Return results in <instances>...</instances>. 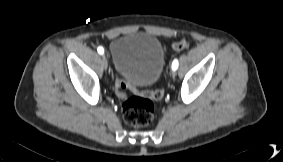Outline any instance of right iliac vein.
Segmentation results:
<instances>
[{"label":"right iliac vein","instance_id":"obj_1","mask_svg":"<svg viewBox=\"0 0 283 162\" xmlns=\"http://www.w3.org/2000/svg\"><path fill=\"white\" fill-rule=\"evenodd\" d=\"M102 65H103L104 69H107V67H108V60H107L105 55L102 56Z\"/></svg>","mask_w":283,"mask_h":162}]
</instances>
